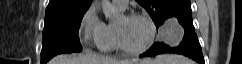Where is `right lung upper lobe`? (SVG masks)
I'll return each instance as SVG.
<instances>
[{"instance_id": "right-lung-upper-lobe-1", "label": "right lung upper lobe", "mask_w": 242, "mask_h": 64, "mask_svg": "<svg viewBox=\"0 0 242 64\" xmlns=\"http://www.w3.org/2000/svg\"><path fill=\"white\" fill-rule=\"evenodd\" d=\"M92 0H50L46 8V16L58 14H77L86 12Z\"/></svg>"}]
</instances>
